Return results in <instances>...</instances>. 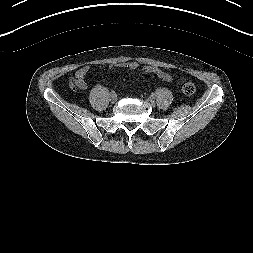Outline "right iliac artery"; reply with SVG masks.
Masks as SVG:
<instances>
[{
	"instance_id": "1",
	"label": "right iliac artery",
	"mask_w": 253,
	"mask_h": 253,
	"mask_svg": "<svg viewBox=\"0 0 253 253\" xmlns=\"http://www.w3.org/2000/svg\"><path fill=\"white\" fill-rule=\"evenodd\" d=\"M110 95H116L115 91L112 90V91L110 92Z\"/></svg>"
}]
</instances>
